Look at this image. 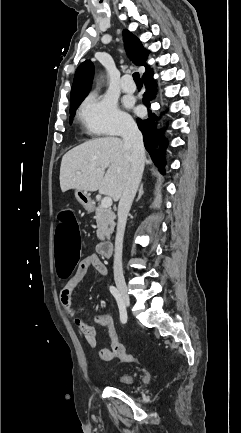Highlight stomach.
I'll list each match as a JSON object with an SVG mask.
<instances>
[{
	"label": "stomach",
	"instance_id": "1",
	"mask_svg": "<svg viewBox=\"0 0 241 433\" xmlns=\"http://www.w3.org/2000/svg\"><path fill=\"white\" fill-rule=\"evenodd\" d=\"M75 197L77 201L85 208V210H92L93 202L90 198V194L87 191L76 190Z\"/></svg>",
	"mask_w": 241,
	"mask_h": 433
}]
</instances>
